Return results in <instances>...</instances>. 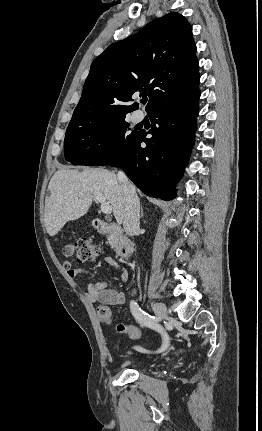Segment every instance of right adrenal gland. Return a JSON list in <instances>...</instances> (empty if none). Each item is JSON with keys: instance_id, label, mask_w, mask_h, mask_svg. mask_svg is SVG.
<instances>
[{"instance_id": "right-adrenal-gland-1", "label": "right adrenal gland", "mask_w": 262, "mask_h": 431, "mask_svg": "<svg viewBox=\"0 0 262 431\" xmlns=\"http://www.w3.org/2000/svg\"><path fill=\"white\" fill-rule=\"evenodd\" d=\"M143 217V208L141 206V218Z\"/></svg>"}]
</instances>
